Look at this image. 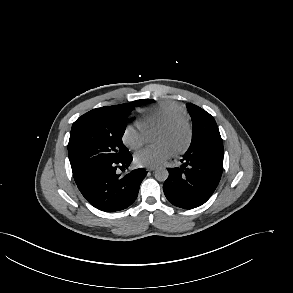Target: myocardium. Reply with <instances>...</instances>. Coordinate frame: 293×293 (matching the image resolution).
<instances>
[{
    "instance_id": "f54148a6",
    "label": "myocardium",
    "mask_w": 293,
    "mask_h": 293,
    "mask_svg": "<svg viewBox=\"0 0 293 293\" xmlns=\"http://www.w3.org/2000/svg\"><path fill=\"white\" fill-rule=\"evenodd\" d=\"M180 128L185 129L186 140L181 147L174 150V153L176 155L184 154L190 148V146L192 144L193 127H192L191 123L186 118H180V119L173 120L169 123L163 124L159 127L160 130L167 131V132H173V131L178 130Z\"/></svg>"
}]
</instances>
